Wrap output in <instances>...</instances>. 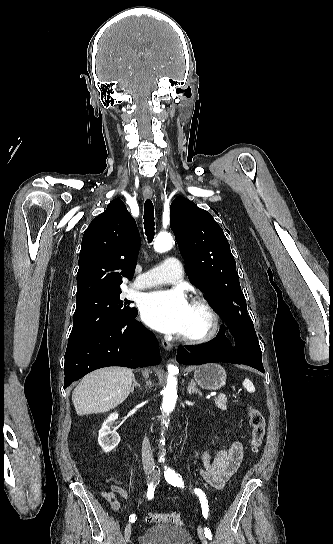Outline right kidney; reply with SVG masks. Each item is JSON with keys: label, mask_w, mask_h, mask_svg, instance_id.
<instances>
[{"label": "right kidney", "mask_w": 333, "mask_h": 544, "mask_svg": "<svg viewBox=\"0 0 333 544\" xmlns=\"http://www.w3.org/2000/svg\"><path fill=\"white\" fill-rule=\"evenodd\" d=\"M118 418V413H112L108 416L107 420L102 424L98 434V443L101 446L103 452H111L120 442V436L113 428V422ZM108 435H111L110 437Z\"/></svg>", "instance_id": "right-kidney-1"}]
</instances>
